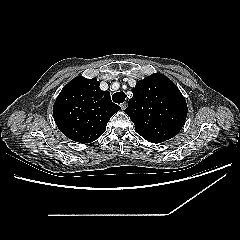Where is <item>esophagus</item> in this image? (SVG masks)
<instances>
[{
    "mask_svg": "<svg viewBox=\"0 0 240 240\" xmlns=\"http://www.w3.org/2000/svg\"><path fill=\"white\" fill-rule=\"evenodd\" d=\"M120 107H121L122 110H125L126 107H127V103L126 102L121 103Z\"/></svg>",
    "mask_w": 240,
    "mask_h": 240,
    "instance_id": "obj_1",
    "label": "esophagus"
}]
</instances>
